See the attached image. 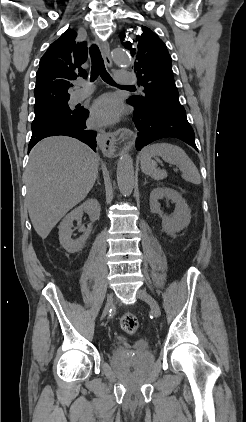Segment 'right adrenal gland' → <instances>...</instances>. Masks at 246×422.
<instances>
[{
  "mask_svg": "<svg viewBox=\"0 0 246 422\" xmlns=\"http://www.w3.org/2000/svg\"><path fill=\"white\" fill-rule=\"evenodd\" d=\"M97 184H98V185H100V182H99V177H97Z\"/></svg>",
  "mask_w": 246,
  "mask_h": 422,
  "instance_id": "2a0ac1e0",
  "label": "right adrenal gland"
}]
</instances>
